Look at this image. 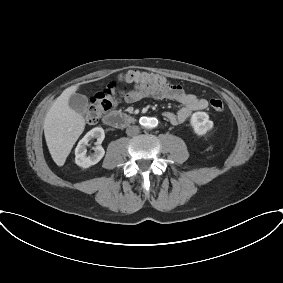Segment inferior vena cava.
<instances>
[{"label":"inferior vena cava","mask_w":283,"mask_h":283,"mask_svg":"<svg viewBox=\"0 0 283 283\" xmlns=\"http://www.w3.org/2000/svg\"><path fill=\"white\" fill-rule=\"evenodd\" d=\"M139 131H140L139 127L133 125V126H129V127L126 129V134H127L128 136H134V135L138 134Z\"/></svg>","instance_id":"1"}]
</instances>
